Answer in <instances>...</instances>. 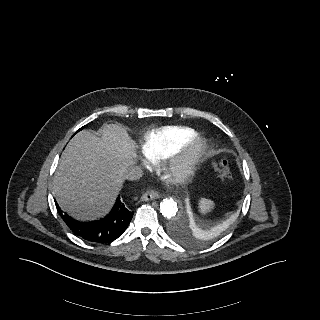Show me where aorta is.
Here are the masks:
<instances>
[{
  "label": "aorta",
  "mask_w": 320,
  "mask_h": 320,
  "mask_svg": "<svg viewBox=\"0 0 320 320\" xmlns=\"http://www.w3.org/2000/svg\"><path fill=\"white\" fill-rule=\"evenodd\" d=\"M160 212L165 218H172L177 215L178 205L172 198H166L160 203ZM185 227V222L183 218H179L176 222L177 229H183Z\"/></svg>",
  "instance_id": "1"
}]
</instances>
